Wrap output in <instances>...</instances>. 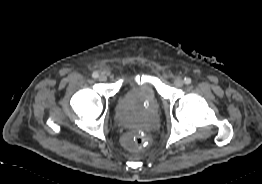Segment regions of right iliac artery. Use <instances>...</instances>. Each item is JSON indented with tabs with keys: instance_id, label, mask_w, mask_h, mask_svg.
Returning <instances> with one entry per match:
<instances>
[{
	"instance_id": "obj_1",
	"label": "right iliac artery",
	"mask_w": 262,
	"mask_h": 184,
	"mask_svg": "<svg viewBox=\"0 0 262 184\" xmlns=\"http://www.w3.org/2000/svg\"><path fill=\"white\" fill-rule=\"evenodd\" d=\"M98 76H99L98 72H93V74H92L93 78H98Z\"/></svg>"
}]
</instances>
